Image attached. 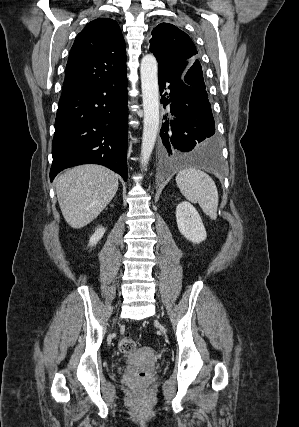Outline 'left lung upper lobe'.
Returning a JSON list of instances; mask_svg holds the SVG:
<instances>
[{
	"mask_svg": "<svg viewBox=\"0 0 299 427\" xmlns=\"http://www.w3.org/2000/svg\"><path fill=\"white\" fill-rule=\"evenodd\" d=\"M150 51L158 63L174 65L187 62L183 79L186 84L205 90L202 67L191 38L176 26L168 23L157 25L152 31Z\"/></svg>",
	"mask_w": 299,
	"mask_h": 427,
	"instance_id": "1",
	"label": "left lung upper lobe"
}]
</instances>
